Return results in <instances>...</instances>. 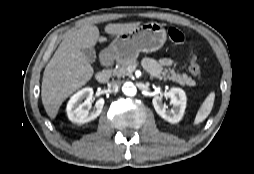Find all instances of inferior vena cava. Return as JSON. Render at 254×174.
Wrapping results in <instances>:
<instances>
[{
    "label": "inferior vena cava",
    "instance_id": "602c4592",
    "mask_svg": "<svg viewBox=\"0 0 254 174\" xmlns=\"http://www.w3.org/2000/svg\"><path fill=\"white\" fill-rule=\"evenodd\" d=\"M108 85L111 89L116 90L121 85V82L118 80H112Z\"/></svg>",
    "mask_w": 254,
    "mask_h": 174
}]
</instances>
